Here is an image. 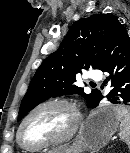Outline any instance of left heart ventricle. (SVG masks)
I'll return each mask as SVG.
<instances>
[{"label":"left heart ventricle","mask_w":130,"mask_h":153,"mask_svg":"<svg viewBox=\"0 0 130 153\" xmlns=\"http://www.w3.org/2000/svg\"><path fill=\"white\" fill-rule=\"evenodd\" d=\"M73 123L71 111L64 106H47L34 113L26 122L22 139L38 144L62 137Z\"/></svg>","instance_id":"obj_1"}]
</instances>
